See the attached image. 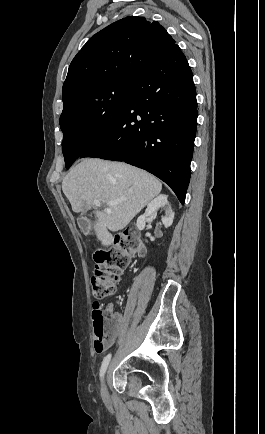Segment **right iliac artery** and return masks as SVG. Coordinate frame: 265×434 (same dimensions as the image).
Wrapping results in <instances>:
<instances>
[{
    "label": "right iliac artery",
    "mask_w": 265,
    "mask_h": 434,
    "mask_svg": "<svg viewBox=\"0 0 265 434\" xmlns=\"http://www.w3.org/2000/svg\"><path fill=\"white\" fill-rule=\"evenodd\" d=\"M110 359H111V354H108V355L103 359V362H102V365H101V369H100V378H102V377L104 376V374H105V372H106V369H107V367H108V364H109V362H110Z\"/></svg>",
    "instance_id": "82829eb1"
}]
</instances>
